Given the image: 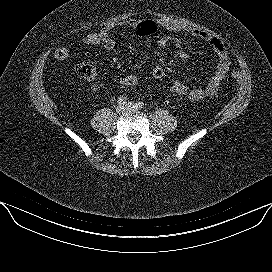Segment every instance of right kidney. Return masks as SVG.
<instances>
[{"mask_svg": "<svg viewBox=\"0 0 272 272\" xmlns=\"http://www.w3.org/2000/svg\"><path fill=\"white\" fill-rule=\"evenodd\" d=\"M92 92H97L99 90V86L96 83H93L91 86Z\"/></svg>", "mask_w": 272, "mask_h": 272, "instance_id": "ca27d5eb", "label": "right kidney"}]
</instances>
